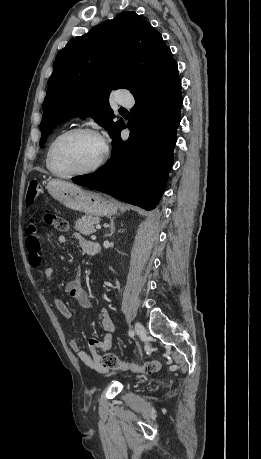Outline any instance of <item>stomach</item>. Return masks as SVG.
Here are the masks:
<instances>
[{"instance_id":"0dacf381","label":"stomach","mask_w":261,"mask_h":459,"mask_svg":"<svg viewBox=\"0 0 261 459\" xmlns=\"http://www.w3.org/2000/svg\"><path fill=\"white\" fill-rule=\"evenodd\" d=\"M50 195L65 207L91 216H112L118 207L115 202L101 194L85 190L63 180L53 179L47 183Z\"/></svg>"}]
</instances>
